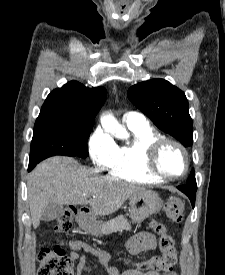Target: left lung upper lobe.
Returning a JSON list of instances; mask_svg holds the SVG:
<instances>
[{
  "mask_svg": "<svg viewBox=\"0 0 225 275\" xmlns=\"http://www.w3.org/2000/svg\"><path fill=\"white\" fill-rule=\"evenodd\" d=\"M128 97L160 130L174 136L185 147L192 146V119L184 92L164 79H152L130 87ZM187 184L197 186L194 170Z\"/></svg>",
  "mask_w": 225,
  "mask_h": 275,
  "instance_id": "1",
  "label": "left lung upper lobe"
}]
</instances>
